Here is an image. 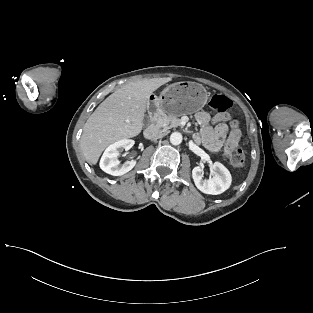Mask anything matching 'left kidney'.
Here are the masks:
<instances>
[{
  "mask_svg": "<svg viewBox=\"0 0 313 313\" xmlns=\"http://www.w3.org/2000/svg\"><path fill=\"white\" fill-rule=\"evenodd\" d=\"M215 174L212 178L203 180V168L196 166L192 170V177L196 187L205 194L218 195L227 190L232 182L229 170L220 162L213 164Z\"/></svg>",
  "mask_w": 313,
  "mask_h": 313,
  "instance_id": "obj_1",
  "label": "left kidney"
}]
</instances>
